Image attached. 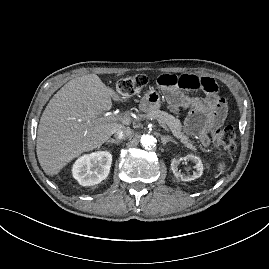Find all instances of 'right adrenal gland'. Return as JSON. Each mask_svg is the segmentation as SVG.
Instances as JSON below:
<instances>
[{"label":"right adrenal gland","instance_id":"2a0ac1e0","mask_svg":"<svg viewBox=\"0 0 269 269\" xmlns=\"http://www.w3.org/2000/svg\"><path fill=\"white\" fill-rule=\"evenodd\" d=\"M107 143H111V144H120L121 143V141L120 140H115V139H110V140H108L107 141Z\"/></svg>","mask_w":269,"mask_h":269}]
</instances>
